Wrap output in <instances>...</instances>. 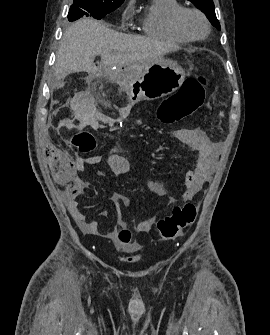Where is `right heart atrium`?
I'll use <instances>...</instances> for the list:
<instances>
[{"label":"right heart atrium","instance_id":"obj_1","mask_svg":"<svg viewBox=\"0 0 270 335\" xmlns=\"http://www.w3.org/2000/svg\"><path fill=\"white\" fill-rule=\"evenodd\" d=\"M133 4H134V0H129L128 1L127 9H126L124 14H126L132 8Z\"/></svg>","mask_w":270,"mask_h":335}]
</instances>
